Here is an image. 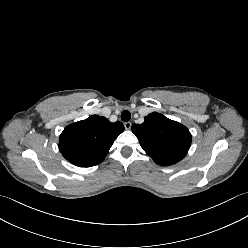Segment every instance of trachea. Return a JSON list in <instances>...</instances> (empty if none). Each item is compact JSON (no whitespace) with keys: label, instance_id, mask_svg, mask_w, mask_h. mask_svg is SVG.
Wrapping results in <instances>:
<instances>
[{"label":"trachea","instance_id":"1","mask_svg":"<svg viewBox=\"0 0 248 248\" xmlns=\"http://www.w3.org/2000/svg\"><path fill=\"white\" fill-rule=\"evenodd\" d=\"M131 118V114L129 111L127 110H124L122 113H121V119L125 122L129 121Z\"/></svg>","mask_w":248,"mask_h":248}]
</instances>
